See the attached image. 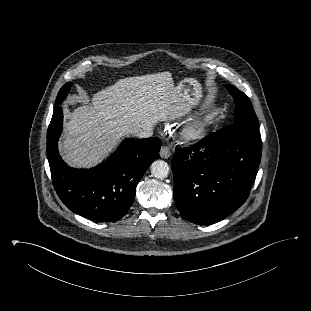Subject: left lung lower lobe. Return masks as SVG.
I'll return each instance as SVG.
<instances>
[{
	"mask_svg": "<svg viewBox=\"0 0 311 311\" xmlns=\"http://www.w3.org/2000/svg\"><path fill=\"white\" fill-rule=\"evenodd\" d=\"M261 149L259 130L241 124L176 149L171 168L174 198L182 217L209 225L238 209L255 180Z\"/></svg>",
	"mask_w": 311,
	"mask_h": 311,
	"instance_id": "1",
	"label": "left lung lower lobe"
}]
</instances>
